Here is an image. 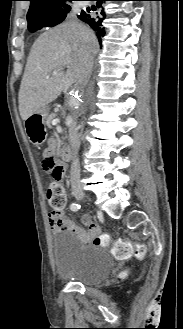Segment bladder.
<instances>
[{
	"instance_id": "1",
	"label": "bladder",
	"mask_w": 183,
	"mask_h": 329,
	"mask_svg": "<svg viewBox=\"0 0 183 329\" xmlns=\"http://www.w3.org/2000/svg\"><path fill=\"white\" fill-rule=\"evenodd\" d=\"M51 248L61 279L95 286L103 283L113 269V260L104 248L83 244L72 232L56 233Z\"/></svg>"
}]
</instances>
